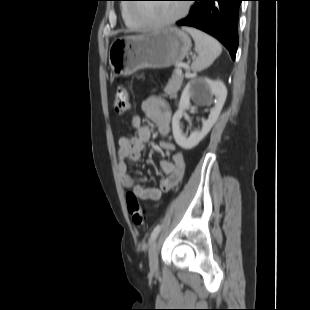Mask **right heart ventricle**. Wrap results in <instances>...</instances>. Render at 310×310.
<instances>
[{
    "instance_id": "1",
    "label": "right heart ventricle",
    "mask_w": 310,
    "mask_h": 310,
    "mask_svg": "<svg viewBox=\"0 0 310 310\" xmlns=\"http://www.w3.org/2000/svg\"><path fill=\"white\" fill-rule=\"evenodd\" d=\"M129 7L130 5L128 4H123L121 7V14H122V18L123 21L125 23V25L131 29L137 30L140 29L144 26L141 25V23H139L138 21L134 20L130 14H129Z\"/></svg>"
}]
</instances>
